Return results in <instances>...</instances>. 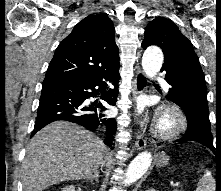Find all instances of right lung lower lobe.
I'll use <instances>...</instances> for the list:
<instances>
[{
  "label": "right lung lower lobe",
  "instance_id": "right-lung-lower-lobe-1",
  "mask_svg": "<svg viewBox=\"0 0 221 191\" xmlns=\"http://www.w3.org/2000/svg\"><path fill=\"white\" fill-rule=\"evenodd\" d=\"M119 78L118 68L92 80L43 85L34 131L31 136L51 122L65 120L77 123L89 130L104 128L106 134L104 143L112 146L117 130L115 119L102 113L106 107L101 103L84 105V101L101 92L102 99L108 104L114 105L118 90L110 89L104 93V89L107 82H113L117 88Z\"/></svg>",
  "mask_w": 221,
  "mask_h": 191
}]
</instances>
